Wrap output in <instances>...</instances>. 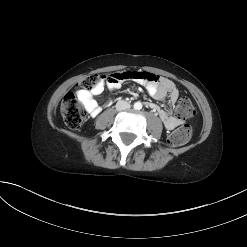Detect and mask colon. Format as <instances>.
Listing matches in <instances>:
<instances>
[{
  "mask_svg": "<svg viewBox=\"0 0 247 247\" xmlns=\"http://www.w3.org/2000/svg\"><path fill=\"white\" fill-rule=\"evenodd\" d=\"M104 77L93 74L81 81L80 87L84 90L93 89ZM176 115L179 119H188L194 116L195 109L190 99L182 97L175 107ZM61 114L65 124L73 130L81 127L88 114L82 102L73 94L68 93L61 103ZM191 136V129L188 125H182L173 131L168 137V143L172 146L185 144Z\"/></svg>",
  "mask_w": 247,
  "mask_h": 247,
  "instance_id": "5ec220e1",
  "label": "colon"
}]
</instances>
